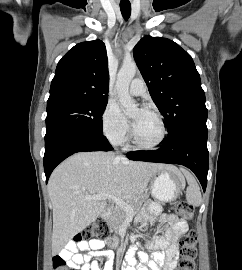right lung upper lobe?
<instances>
[{"instance_id":"cb5924a9","label":"right lung upper lobe","mask_w":242,"mask_h":270,"mask_svg":"<svg viewBox=\"0 0 242 270\" xmlns=\"http://www.w3.org/2000/svg\"><path fill=\"white\" fill-rule=\"evenodd\" d=\"M109 72L101 40L74 46L58 62L47 105L64 101H108Z\"/></svg>"}]
</instances>
